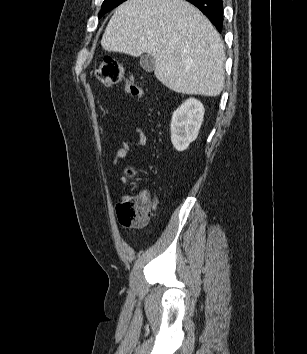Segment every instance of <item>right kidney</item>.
Wrapping results in <instances>:
<instances>
[{"mask_svg":"<svg viewBox=\"0 0 307 354\" xmlns=\"http://www.w3.org/2000/svg\"><path fill=\"white\" fill-rule=\"evenodd\" d=\"M203 104L189 98L172 115L171 141L177 151H184L199 133L204 117Z\"/></svg>","mask_w":307,"mask_h":354,"instance_id":"ca27d5eb","label":"right kidney"}]
</instances>
